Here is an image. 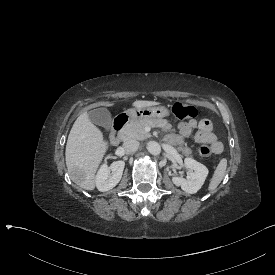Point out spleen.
I'll list each match as a JSON object with an SVG mask.
<instances>
[{
	"mask_svg": "<svg viewBox=\"0 0 275 275\" xmlns=\"http://www.w3.org/2000/svg\"><path fill=\"white\" fill-rule=\"evenodd\" d=\"M226 170H227V159L223 158L220 160L215 171L213 172L212 178L209 181V185H208L209 192H213L219 186V184L225 177Z\"/></svg>",
	"mask_w": 275,
	"mask_h": 275,
	"instance_id": "spleen-1",
	"label": "spleen"
}]
</instances>
